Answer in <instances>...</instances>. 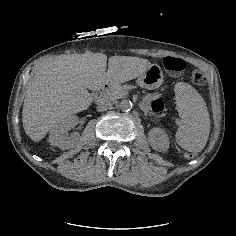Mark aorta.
<instances>
[{
	"instance_id": "obj_1",
	"label": "aorta",
	"mask_w": 236,
	"mask_h": 236,
	"mask_svg": "<svg viewBox=\"0 0 236 236\" xmlns=\"http://www.w3.org/2000/svg\"><path fill=\"white\" fill-rule=\"evenodd\" d=\"M119 108L126 112V111H130L132 109V102L130 100H122L119 104Z\"/></svg>"
}]
</instances>
